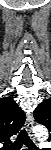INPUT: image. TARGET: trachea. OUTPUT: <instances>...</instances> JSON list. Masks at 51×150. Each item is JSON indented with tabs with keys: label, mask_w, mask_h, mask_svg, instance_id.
Listing matches in <instances>:
<instances>
[{
	"label": "trachea",
	"mask_w": 51,
	"mask_h": 150,
	"mask_svg": "<svg viewBox=\"0 0 51 150\" xmlns=\"http://www.w3.org/2000/svg\"><path fill=\"white\" fill-rule=\"evenodd\" d=\"M23 144H25L29 148V150H34V148H36L35 144L29 138L25 129L20 131L19 135L17 136L16 141L13 144L8 145L6 149L20 150Z\"/></svg>",
	"instance_id": "trachea-1"
}]
</instances>
